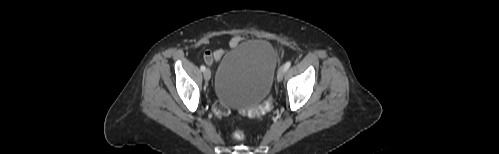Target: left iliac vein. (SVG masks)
<instances>
[{
    "mask_svg": "<svg viewBox=\"0 0 499 154\" xmlns=\"http://www.w3.org/2000/svg\"><path fill=\"white\" fill-rule=\"evenodd\" d=\"M285 69H284V66L283 67H280L278 72H277V81L278 82H281L283 77H284V74H285Z\"/></svg>",
    "mask_w": 499,
    "mask_h": 154,
    "instance_id": "1",
    "label": "left iliac vein"
}]
</instances>
